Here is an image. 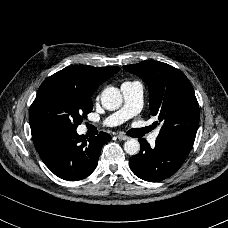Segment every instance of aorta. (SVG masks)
<instances>
[{
	"label": "aorta",
	"mask_w": 228,
	"mask_h": 228,
	"mask_svg": "<svg viewBox=\"0 0 228 228\" xmlns=\"http://www.w3.org/2000/svg\"><path fill=\"white\" fill-rule=\"evenodd\" d=\"M122 102V94L117 88L108 87L102 92L101 103L106 110H117ZM124 150L129 155H135L140 150V143L137 139L131 138L124 143Z\"/></svg>",
	"instance_id": "1"
}]
</instances>
